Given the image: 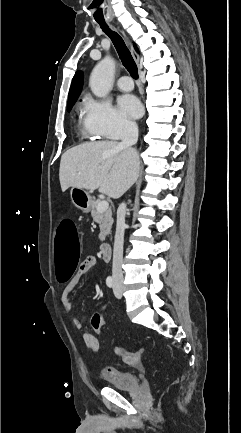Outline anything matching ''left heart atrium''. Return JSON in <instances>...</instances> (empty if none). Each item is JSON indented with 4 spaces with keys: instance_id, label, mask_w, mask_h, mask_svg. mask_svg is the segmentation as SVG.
<instances>
[{
    "instance_id": "obj_1",
    "label": "left heart atrium",
    "mask_w": 241,
    "mask_h": 433,
    "mask_svg": "<svg viewBox=\"0 0 241 433\" xmlns=\"http://www.w3.org/2000/svg\"><path fill=\"white\" fill-rule=\"evenodd\" d=\"M120 111L132 118H136L141 114V104L133 95H123L118 100Z\"/></svg>"
}]
</instances>
